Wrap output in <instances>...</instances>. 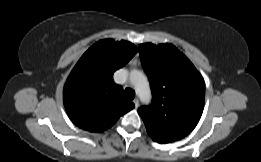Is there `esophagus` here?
I'll use <instances>...</instances> for the list:
<instances>
[{
	"label": "esophagus",
	"instance_id": "obj_1",
	"mask_svg": "<svg viewBox=\"0 0 261 162\" xmlns=\"http://www.w3.org/2000/svg\"><path fill=\"white\" fill-rule=\"evenodd\" d=\"M133 103H134V105H135V108H138V107H139V100H138L137 98H135V99L133 100Z\"/></svg>",
	"mask_w": 261,
	"mask_h": 162
}]
</instances>
